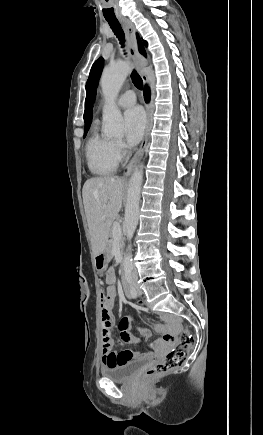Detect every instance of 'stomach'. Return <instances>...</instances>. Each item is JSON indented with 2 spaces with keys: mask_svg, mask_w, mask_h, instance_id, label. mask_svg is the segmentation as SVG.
I'll list each match as a JSON object with an SVG mask.
<instances>
[{
  "mask_svg": "<svg viewBox=\"0 0 263 435\" xmlns=\"http://www.w3.org/2000/svg\"><path fill=\"white\" fill-rule=\"evenodd\" d=\"M109 262V255L107 252H102L95 256V264L97 265L98 271H103Z\"/></svg>",
  "mask_w": 263,
  "mask_h": 435,
  "instance_id": "1",
  "label": "stomach"
}]
</instances>
